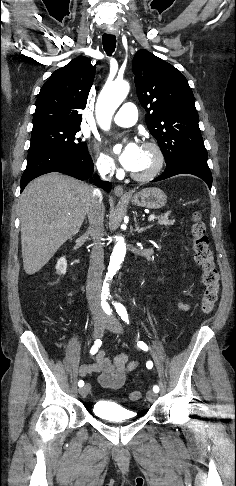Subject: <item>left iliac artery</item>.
Returning a JSON list of instances; mask_svg holds the SVG:
<instances>
[{"mask_svg":"<svg viewBox=\"0 0 236 486\" xmlns=\"http://www.w3.org/2000/svg\"><path fill=\"white\" fill-rule=\"evenodd\" d=\"M114 306H115V308H116V311H117L118 315L121 317V319H122V320H123L125 323L129 324V318H128V313H127V311H126V308H125V307H124V306H123L121 303H116V302L114 303ZM138 346H139V347H140L142 350H144V351H147V350H148V346H147V345H146L144 342H142V341L138 342ZM146 367H147L148 369H151V368L153 367V363H152V361H148V362L146 363ZM153 391H154L155 393H158V392H159V387H158L157 385L153 386Z\"/></svg>","mask_w":236,"mask_h":486,"instance_id":"44dca946","label":"left iliac artery"}]
</instances>
